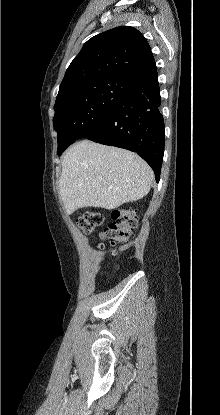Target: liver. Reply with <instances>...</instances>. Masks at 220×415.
I'll return each mask as SVG.
<instances>
[{
	"label": "liver",
	"instance_id": "liver-1",
	"mask_svg": "<svg viewBox=\"0 0 220 415\" xmlns=\"http://www.w3.org/2000/svg\"><path fill=\"white\" fill-rule=\"evenodd\" d=\"M153 171L130 151L83 140L62 160L60 196L67 213L84 207L115 209L146 196Z\"/></svg>",
	"mask_w": 220,
	"mask_h": 415
}]
</instances>
